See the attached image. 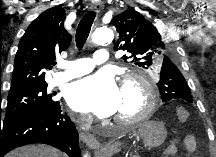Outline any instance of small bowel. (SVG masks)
<instances>
[{"label": "small bowel", "mask_w": 216, "mask_h": 157, "mask_svg": "<svg viewBox=\"0 0 216 157\" xmlns=\"http://www.w3.org/2000/svg\"><path fill=\"white\" fill-rule=\"evenodd\" d=\"M182 143L185 147V149L195 155V156H199V153H198V148H197V142H196V139L191 136V135H188V136H185L182 140ZM177 146H178V141L177 140H174L172 141L164 150V153L163 155L165 157H170V156H174L177 152Z\"/></svg>", "instance_id": "c3829d8e"}]
</instances>
